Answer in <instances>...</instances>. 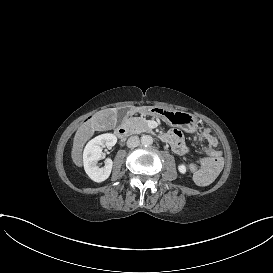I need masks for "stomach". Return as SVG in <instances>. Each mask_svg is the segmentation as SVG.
Returning <instances> with one entry per match:
<instances>
[{
  "label": "stomach",
  "mask_w": 273,
  "mask_h": 273,
  "mask_svg": "<svg viewBox=\"0 0 273 273\" xmlns=\"http://www.w3.org/2000/svg\"><path fill=\"white\" fill-rule=\"evenodd\" d=\"M141 113L159 118L170 127L180 128L188 134H194L198 130V118L185 111L171 110L155 105L142 107Z\"/></svg>",
  "instance_id": "0dacf381"
}]
</instances>
